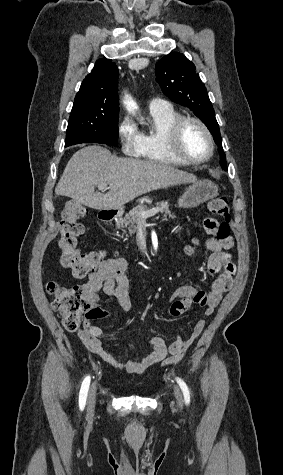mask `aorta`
<instances>
[{"instance_id": "aorta-1", "label": "aorta", "mask_w": 283, "mask_h": 475, "mask_svg": "<svg viewBox=\"0 0 283 475\" xmlns=\"http://www.w3.org/2000/svg\"><path fill=\"white\" fill-rule=\"evenodd\" d=\"M126 97H127V99L124 102V104H125V106H126V108L129 112L134 113L135 110L137 109V105L131 99H128V96H126Z\"/></svg>"}]
</instances>
